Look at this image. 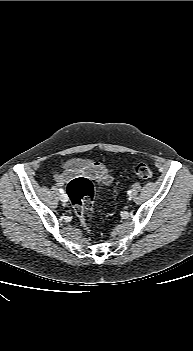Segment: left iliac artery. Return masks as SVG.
<instances>
[{"mask_svg":"<svg viewBox=\"0 0 193 351\" xmlns=\"http://www.w3.org/2000/svg\"><path fill=\"white\" fill-rule=\"evenodd\" d=\"M131 193H132V191H131V190H128V191H127V194H129V195H130Z\"/></svg>","mask_w":193,"mask_h":351,"instance_id":"left-iliac-artery-1","label":"left iliac artery"}]
</instances>
